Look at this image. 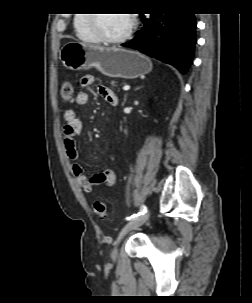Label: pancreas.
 Here are the masks:
<instances>
[{
	"instance_id": "1",
	"label": "pancreas",
	"mask_w": 252,
	"mask_h": 303,
	"mask_svg": "<svg viewBox=\"0 0 252 303\" xmlns=\"http://www.w3.org/2000/svg\"><path fill=\"white\" fill-rule=\"evenodd\" d=\"M111 85L114 87L116 86V82L115 81H111Z\"/></svg>"
}]
</instances>
